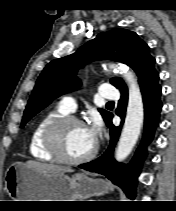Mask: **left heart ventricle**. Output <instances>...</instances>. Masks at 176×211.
I'll return each mask as SVG.
<instances>
[{
  "mask_svg": "<svg viewBox=\"0 0 176 211\" xmlns=\"http://www.w3.org/2000/svg\"><path fill=\"white\" fill-rule=\"evenodd\" d=\"M95 141L89 135L86 126L72 124L62 133V145L65 153L70 157H81L93 148Z\"/></svg>",
  "mask_w": 176,
  "mask_h": 211,
  "instance_id": "1",
  "label": "left heart ventricle"
}]
</instances>
